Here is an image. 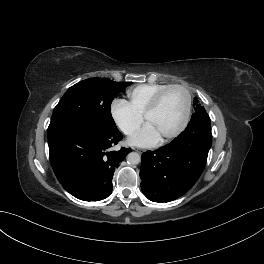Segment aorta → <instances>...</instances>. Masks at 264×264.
Segmentation results:
<instances>
[{
	"label": "aorta",
	"instance_id": "762f6f07",
	"mask_svg": "<svg viewBox=\"0 0 264 264\" xmlns=\"http://www.w3.org/2000/svg\"><path fill=\"white\" fill-rule=\"evenodd\" d=\"M141 160V157L136 152H131L127 155V162L132 165L139 164Z\"/></svg>",
	"mask_w": 264,
	"mask_h": 264
}]
</instances>
